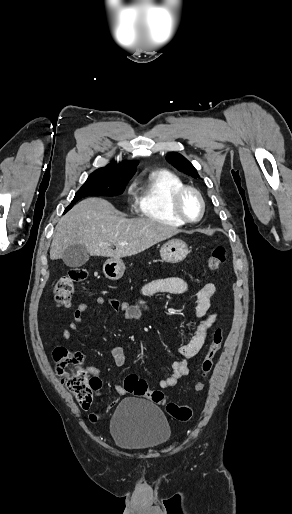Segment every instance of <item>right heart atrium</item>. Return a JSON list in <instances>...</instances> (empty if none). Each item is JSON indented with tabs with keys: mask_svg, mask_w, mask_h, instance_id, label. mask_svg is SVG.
Listing matches in <instances>:
<instances>
[{
	"mask_svg": "<svg viewBox=\"0 0 292 514\" xmlns=\"http://www.w3.org/2000/svg\"><path fill=\"white\" fill-rule=\"evenodd\" d=\"M128 194H131L132 193V186H130L127 190Z\"/></svg>",
	"mask_w": 292,
	"mask_h": 514,
	"instance_id": "1",
	"label": "right heart atrium"
}]
</instances>
